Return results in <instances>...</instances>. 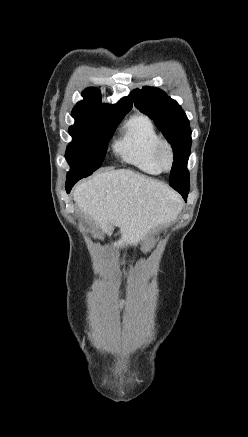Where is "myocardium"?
Returning <instances> with one entry per match:
<instances>
[{
	"label": "myocardium",
	"instance_id": "obj_1",
	"mask_svg": "<svg viewBox=\"0 0 248 437\" xmlns=\"http://www.w3.org/2000/svg\"><path fill=\"white\" fill-rule=\"evenodd\" d=\"M156 161L162 171L169 172L173 168L175 157L172 145L161 139L155 150Z\"/></svg>",
	"mask_w": 248,
	"mask_h": 437
}]
</instances>
